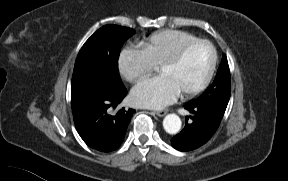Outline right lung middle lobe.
<instances>
[{"label": "right lung middle lobe", "instance_id": "1", "mask_svg": "<svg viewBox=\"0 0 288 181\" xmlns=\"http://www.w3.org/2000/svg\"><path fill=\"white\" fill-rule=\"evenodd\" d=\"M135 31L128 27L106 25L82 46L74 66L71 82L73 115L82 114L94 91L105 88L119 91L124 87L118 71V58L124 42Z\"/></svg>", "mask_w": 288, "mask_h": 181}]
</instances>
